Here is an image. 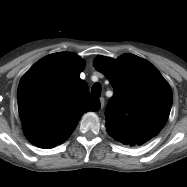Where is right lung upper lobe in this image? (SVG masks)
<instances>
[{
  "instance_id": "obj_1",
  "label": "right lung upper lobe",
  "mask_w": 187,
  "mask_h": 187,
  "mask_svg": "<svg viewBox=\"0 0 187 187\" xmlns=\"http://www.w3.org/2000/svg\"><path fill=\"white\" fill-rule=\"evenodd\" d=\"M84 66L77 55L59 52L40 59L21 78L18 110L32 144L53 148L72 134L85 112L100 109L79 77Z\"/></svg>"
}]
</instances>
